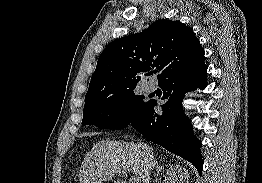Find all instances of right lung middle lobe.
Returning a JSON list of instances; mask_svg holds the SVG:
<instances>
[{"mask_svg":"<svg viewBox=\"0 0 262 183\" xmlns=\"http://www.w3.org/2000/svg\"><path fill=\"white\" fill-rule=\"evenodd\" d=\"M136 95L134 89L85 103L82 125H95L100 129L127 127L149 102Z\"/></svg>","mask_w":262,"mask_h":183,"instance_id":"right-lung-middle-lobe-1","label":"right lung middle lobe"}]
</instances>
